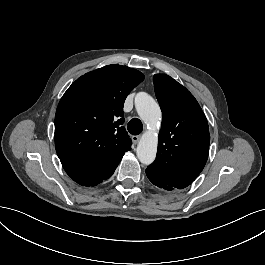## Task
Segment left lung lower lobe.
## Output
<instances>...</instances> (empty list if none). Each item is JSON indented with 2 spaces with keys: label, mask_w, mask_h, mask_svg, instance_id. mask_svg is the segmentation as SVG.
<instances>
[{
  "label": "left lung lower lobe",
  "mask_w": 265,
  "mask_h": 265,
  "mask_svg": "<svg viewBox=\"0 0 265 265\" xmlns=\"http://www.w3.org/2000/svg\"><path fill=\"white\" fill-rule=\"evenodd\" d=\"M147 174V177L149 178V180L156 186H158L159 188L161 189H164V190H174L175 188L165 184L164 182H162L161 180L151 176L150 174L146 173Z\"/></svg>",
  "instance_id": "1"
}]
</instances>
